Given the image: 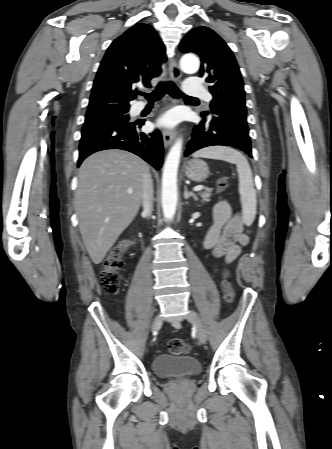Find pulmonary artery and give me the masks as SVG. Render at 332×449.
Masks as SVG:
<instances>
[{
  "mask_svg": "<svg viewBox=\"0 0 332 449\" xmlns=\"http://www.w3.org/2000/svg\"><path fill=\"white\" fill-rule=\"evenodd\" d=\"M185 93L192 96H198L203 98L205 101L210 102L211 96L208 91L199 85L196 78H189L183 86ZM144 107L143 103L137 105V109L141 110Z\"/></svg>",
  "mask_w": 332,
  "mask_h": 449,
  "instance_id": "obj_1",
  "label": "pulmonary artery"
}]
</instances>
